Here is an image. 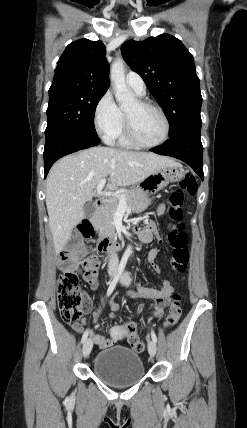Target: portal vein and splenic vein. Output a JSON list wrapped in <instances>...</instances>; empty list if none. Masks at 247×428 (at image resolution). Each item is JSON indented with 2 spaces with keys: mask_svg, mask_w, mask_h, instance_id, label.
Masks as SVG:
<instances>
[{
  "mask_svg": "<svg viewBox=\"0 0 247 428\" xmlns=\"http://www.w3.org/2000/svg\"><path fill=\"white\" fill-rule=\"evenodd\" d=\"M105 183H106V179H102L99 183H98V185H97V187H96V192H97V194L98 195H105V196H114V197H117L118 199H119V201H120V203L121 204H126V197H124V196H122V195H120V194H114L113 192H111V191H108V192H105V193H102V189H103V187H104V185H105Z\"/></svg>",
  "mask_w": 247,
  "mask_h": 428,
  "instance_id": "18ae733b",
  "label": "portal vein and splenic vein"
}]
</instances>
